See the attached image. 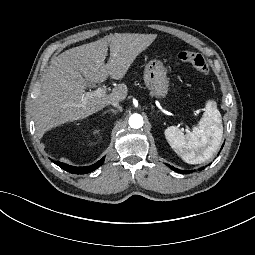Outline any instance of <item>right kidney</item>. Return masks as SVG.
<instances>
[{
  "label": "right kidney",
  "instance_id": "obj_1",
  "mask_svg": "<svg viewBox=\"0 0 255 255\" xmlns=\"http://www.w3.org/2000/svg\"><path fill=\"white\" fill-rule=\"evenodd\" d=\"M97 132H98V130H94V131H93V133H97Z\"/></svg>",
  "mask_w": 255,
  "mask_h": 255
}]
</instances>
